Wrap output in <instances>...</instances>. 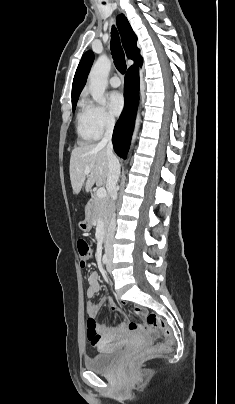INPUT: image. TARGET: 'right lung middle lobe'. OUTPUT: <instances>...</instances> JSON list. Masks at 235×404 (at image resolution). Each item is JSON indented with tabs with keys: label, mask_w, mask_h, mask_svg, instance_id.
Segmentation results:
<instances>
[{
	"label": "right lung middle lobe",
	"mask_w": 235,
	"mask_h": 404,
	"mask_svg": "<svg viewBox=\"0 0 235 404\" xmlns=\"http://www.w3.org/2000/svg\"><path fill=\"white\" fill-rule=\"evenodd\" d=\"M76 102H77V101L72 102V108H73V111H74V110H75V108H76Z\"/></svg>",
	"instance_id": "1"
}]
</instances>
